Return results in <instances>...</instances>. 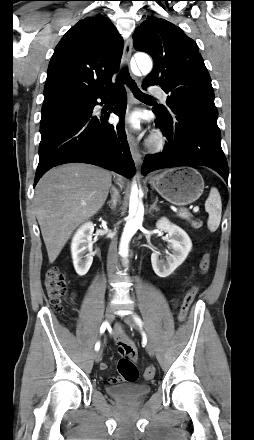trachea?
<instances>
[{
    "instance_id": "obj_1",
    "label": "trachea",
    "mask_w": 254,
    "mask_h": 440,
    "mask_svg": "<svg viewBox=\"0 0 254 440\" xmlns=\"http://www.w3.org/2000/svg\"><path fill=\"white\" fill-rule=\"evenodd\" d=\"M120 79L122 82H125L131 88V90L133 91L136 98H138L140 100H153L154 99L152 96L147 95V94L140 91V89L138 88L135 81L130 77V74L126 68L121 72ZM117 94H118L117 91L113 89L109 97L115 98V97H117Z\"/></svg>"
}]
</instances>
